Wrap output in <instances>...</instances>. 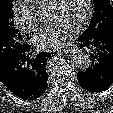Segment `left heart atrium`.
<instances>
[{"label":"left heart atrium","instance_id":"left-heart-atrium-1","mask_svg":"<svg viewBox=\"0 0 113 113\" xmlns=\"http://www.w3.org/2000/svg\"><path fill=\"white\" fill-rule=\"evenodd\" d=\"M75 28L63 21H55L45 26L34 38L38 50L49 51L61 48L74 34Z\"/></svg>","mask_w":113,"mask_h":113}]
</instances>
